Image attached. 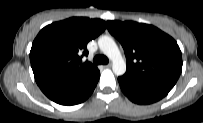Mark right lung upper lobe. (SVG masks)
Listing matches in <instances>:
<instances>
[{
  "label": "right lung upper lobe",
  "mask_w": 203,
  "mask_h": 123,
  "mask_svg": "<svg viewBox=\"0 0 203 123\" xmlns=\"http://www.w3.org/2000/svg\"><path fill=\"white\" fill-rule=\"evenodd\" d=\"M106 29L101 19L72 17L44 27L33 41L30 62L38 85L59 78L88 76L98 69L82 63L87 43Z\"/></svg>",
  "instance_id": "1"
}]
</instances>
